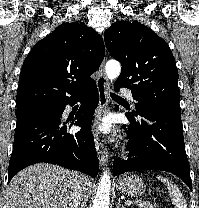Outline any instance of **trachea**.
Segmentation results:
<instances>
[{
    "label": "trachea",
    "instance_id": "3493384b",
    "mask_svg": "<svg viewBox=\"0 0 199 208\" xmlns=\"http://www.w3.org/2000/svg\"><path fill=\"white\" fill-rule=\"evenodd\" d=\"M110 95H111V97H112L114 100H116V101H124L123 98L119 97L118 95H116V94H114V93H111Z\"/></svg>",
    "mask_w": 199,
    "mask_h": 208
}]
</instances>
